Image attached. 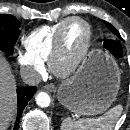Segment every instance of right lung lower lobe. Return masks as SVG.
<instances>
[{
    "label": "right lung lower lobe",
    "instance_id": "1",
    "mask_svg": "<svg viewBox=\"0 0 130 130\" xmlns=\"http://www.w3.org/2000/svg\"><path fill=\"white\" fill-rule=\"evenodd\" d=\"M36 89V87H21L17 89L18 113L14 130H18L21 114L28 101L33 97L34 93L36 92Z\"/></svg>",
    "mask_w": 130,
    "mask_h": 130
}]
</instances>
